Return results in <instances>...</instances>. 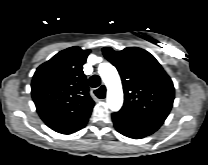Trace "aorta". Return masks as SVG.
I'll use <instances>...</instances> for the list:
<instances>
[{"label":"aorta","instance_id":"obj_1","mask_svg":"<svg viewBox=\"0 0 208 165\" xmlns=\"http://www.w3.org/2000/svg\"><path fill=\"white\" fill-rule=\"evenodd\" d=\"M98 73L107 87V105L109 109L118 111L123 104V90L116 68L110 63H101Z\"/></svg>","mask_w":208,"mask_h":165}]
</instances>
